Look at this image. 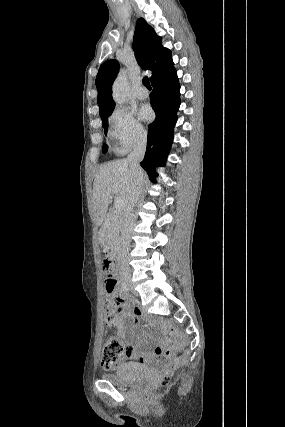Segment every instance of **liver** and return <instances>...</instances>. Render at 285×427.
Here are the masks:
<instances>
[{
  "label": "liver",
  "mask_w": 285,
  "mask_h": 427,
  "mask_svg": "<svg viewBox=\"0 0 285 427\" xmlns=\"http://www.w3.org/2000/svg\"><path fill=\"white\" fill-rule=\"evenodd\" d=\"M116 186V190L113 187ZM134 186V177L126 159L116 160L103 165L95 175L93 184V210L97 226H100L99 240L103 241L106 231L113 221V215L108 213L113 192L127 206Z\"/></svg>",
  "instance_id": "liver-1"
}]
</instances>
